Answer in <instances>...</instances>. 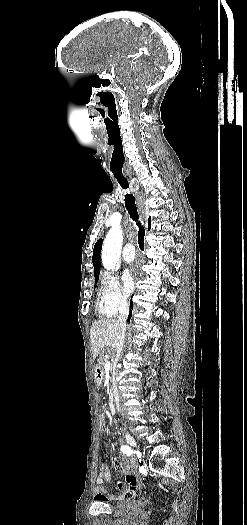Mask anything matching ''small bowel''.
<instances>
[{
    "label": "small bowel",
    "instance_id": "small-bowel-1",
    "mask_svg": "<svg viewBox=\"0 0 247 525\" xmlns=\"http://www.w3.org/2000/svg\"><path fill=\"white\" fill-rule=\"evenodd\" d=\"M113 468L119 469L122 466L121 459L116 457L112 463ZM121 474H126V469H121ZM111 480V472L109 465L106 461L102 460L99 464V470L96 474V488H95V498L97 500H108L110 504H113L117 499H124L126 497V492L130 493L132 497H137L139 495L140 482L137 480V475L135 473L126 474L125 478L118 480L116 490L118 493L111 495L110 497L106 495L103 488V483ZM110 494H113V491H110Z\"/></svg>",
    "mask_w": 247,
    "mask_h": 525
}]
</instances>
